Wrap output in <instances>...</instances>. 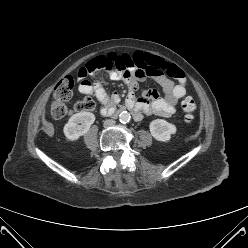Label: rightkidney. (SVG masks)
<instances>
[{"instance_id": "right-kidney-1", "label": "right kidney", "mask_w": 248, "mask_h": 248, "mask_svg": "<svg viewBox=\"0 0 248 248\" xmlns=\"http://www.w3.org/2000/svg\"><path fill=\"white\" fill-rule=\"evenodd\" d=\"M95 121V115L90 112H79L70 117L64 126V134L69 140H77L86 134ZM80 124V125H79Z\"/></svg>"}]
</instances>
